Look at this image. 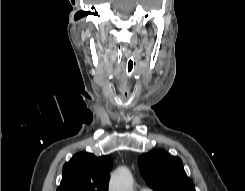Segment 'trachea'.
Masks as SVG:
<instances>
[{
  "label": "trachea",
  "mask_w": 245,
  "mask_h": 191,
  "mask_svg": "<svg viewBox=\"0 0 245 191\" xmlns=\"http://www.w3.org/2000/svg\"><path fill=\"white\" fill-rule=\"evenodd\" d=\"M135 59L131 56L128 58L127 63H126V68H127V73L131 74L135 67Z\"/></svg>",
  "instance_id": "3493384b"
}]
</instances>
